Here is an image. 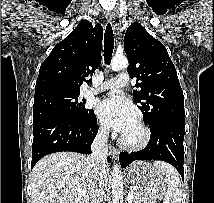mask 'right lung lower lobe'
<instances>
[{
	"label": "right lung lower lobe",
	"mask_w": 214,
	"mask_h": 203,
	"mask_svg": "<svg viewBox=\"0 0 214 203\" xmlns=\"http://www.w3.org/2000/svg\"><path fill=\"white\" fill-rule=\"evenodd\" d=\"M96 122L94 112L86 118L51 115L33 121L31 168L42 157L55 152L90 154L91 144L98 132Z\"/></svg>",
	"instance_id": "obj_1"
}]
</instances>
